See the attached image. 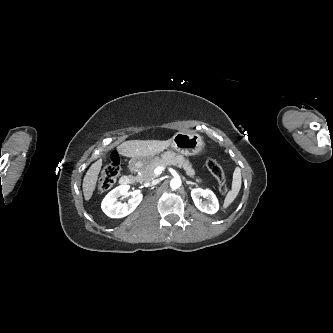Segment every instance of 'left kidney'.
Returning a JSON list of instances; mask_svg holds the SVG:
<instances>
[{
    "label": "left kidney",
    "mask_w": 333,
    "mask_h": 333,
    "mask_svg": "<svg viewBox=\"0 0 333 333\" xmlns=\"http://www.w3.org/2000/svg\"><path fill=\"white\" fill-rule=\"evenodd\" d=\"M191 197L195 206L207 214H215L219 210V203L215 194L209 189L195 188L191 190ZM201 197L207 199L203 202Z\"/></svg>",
    "instance_id": "obj_1"
}]
</instances>
